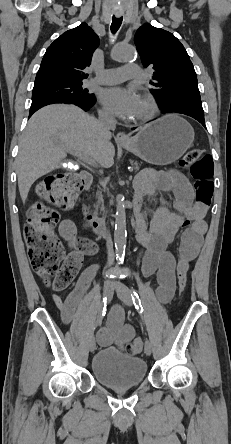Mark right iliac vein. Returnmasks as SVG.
Segmentation results:
<instances>
[{
  "label": "right iliac vein",
  "mask_w": 231,
  "mask_h": 444,
  "mask_svg": "<svg viewBox=\"0 0 231 444\" xmlns=\"http://www.w3.org/2000/svg\"><path fill=\"white\" fill-rule=\"evenodd\" d=\"M107 291H108V286H106L104 289V295L106 294ZM95 349H96V342H95V338L92 336V338L90 340V351L94 352Z\"/></svg>",
  "instance_id": "1"
}]
</instances>
